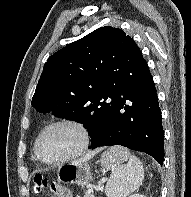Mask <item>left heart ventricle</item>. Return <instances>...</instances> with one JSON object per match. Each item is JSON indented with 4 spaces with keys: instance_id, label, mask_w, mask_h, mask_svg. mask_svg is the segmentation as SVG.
Segmentation results:
<instances>
[{
    "instance_id": "obj_1",
    "label": "left heart ventricle",
    "mask_w": 191,
    "mask_h": 197,
    "mask_svg": "<svg viewBox=\"0 0 191 197\" xmlns=\"http://www.w3.org/2000/svg\"><path fill=\"white\" fill-rule=\"evenodd\" d=\"M81 144V135L72 126L60 125L47 130L39 144L41 156L45 160L61 159L75 150Z\"/></svg>"
}]
</instances>
